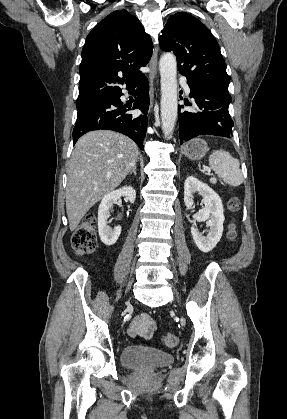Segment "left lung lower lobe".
I'll use <instances>...</instances> for the list:
<instances>
[{
  "label": "left lung lower lobe",
  "mask_w": 287,
  "mask_h": 419,
  "mask_svg": "<svg viewBox=\"0 0 287 419\" xmlns=\"http://www.w3.org/2000/svg\"><path fill=\"white\" fill-rule=\"evenodd\" d=\"M187 83L191 90L190 97L195 99L196 112L178 113L180 144L202 135L231 138L234 123L228 111L232 101L228 90ZM182 107L178 106V109Z\"/></svg>",
  "instance_id": "0a47b994"
}]
</instances>
